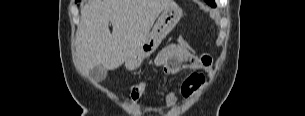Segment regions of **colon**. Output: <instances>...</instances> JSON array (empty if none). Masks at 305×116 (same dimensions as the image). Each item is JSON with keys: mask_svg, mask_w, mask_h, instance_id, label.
<instances>
[{"mask_svg": "<svg viewBox=\"0 0 305 116\" xmlns=\"http://www.w3.org/2000/svg\"><path fill=\"white\" fill-rule=\"evenodd\" d=\"M185 39L184 38H179V41H184ZM190 77L192 79H195L197 77L196 73H192L190 75ZM147 90V83L144 82V81H141V82H138L136 84H134L131 88H130V91L128 93V100H129V104L131 106H136L138 105L142 98L144 97L145 95V92Z\"/></svg>", "mask_w": 305, "mask_h": 116, "instance_id": "obj_1", "label": "colon"}]
</instances>
